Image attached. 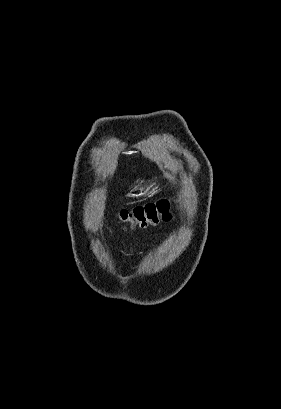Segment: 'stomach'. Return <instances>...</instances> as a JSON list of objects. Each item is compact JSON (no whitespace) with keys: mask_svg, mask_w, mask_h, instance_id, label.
Here are the masks:
<instances>
[{"mask_svg":"<svg viewBox=\"0 0 281 409\" xmlns=\"http://www.w3.org/2000/svg\"><path fill=\"white\" fill-rule=\"evenodd\" d=\"M151 186H146V188H140V194H145V192H154L153 190H150Z\"/></svg>","mask_w":281,"mask_h":409,"instance_id":"1","label":"stomach"}]
</instances>
